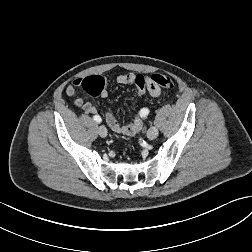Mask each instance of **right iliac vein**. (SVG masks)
<instances>
[{
	"instance_id": "right-iliac-vein-1",
	"label": "right iliac vein",
	"mask_w": 252,
	"mask_h": 252,
	"mask_svg": "<svg viewBox=\"0 0 252 252\" xmlns=\"http://www.w3.org/2000/svg\"><path fill=\"white\" fill-rule=\"evenodd\" d=\"M98 133L101 137H106L107 136V129L106 127L104 126H101L99 129H98Z\"/></svg>"
}]
</instances>
